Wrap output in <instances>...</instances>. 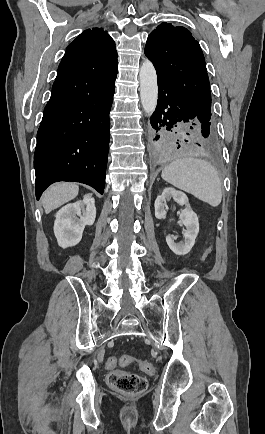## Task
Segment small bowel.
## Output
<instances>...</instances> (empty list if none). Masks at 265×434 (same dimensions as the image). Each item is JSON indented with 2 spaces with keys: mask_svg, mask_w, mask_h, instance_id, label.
<instances>
[{
  "mask_svg": "<svg viewBox=\"0 0 265 434\" xmlns=\"http://www.w3.org/2000/svg\"><path fill=\"white\" fill-rule=\"evenodd\" d=\"M117 365H121L118 360L114 357L109 358L105 363V368L107 370H112L117 367ZM123 366V365H121Z\"/></svg>",
  "mask_w": 265,
  "mask_h": 434,
  "instance_id": "1",
  "label": "small bowel"
}]
</instances>
